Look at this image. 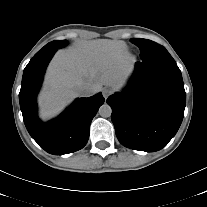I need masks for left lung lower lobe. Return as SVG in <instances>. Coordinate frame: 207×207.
<instances>
[{
	"mask_svg": "<svg viewBox=\"0 0 207 207\" xmlns=\"http://www.w3.org/2000/svg\"><path fill=\"white\" fill-rule=\"evenodd\" d=\"M119 142L154 152L176 134L184 116L186 93L172 57L140 61L128 86L106 100Z\"/></svg>",
	"mask_w": 207,
	"mask_h": 207,
	"instance_id": "0a47b994",
	"label": "left lung lower lobe"
}]
</instances>
